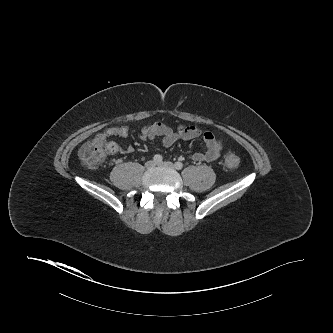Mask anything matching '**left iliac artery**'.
Here are the masks:
<instances>
[{"instance_id":"left-iliac-artery-1","label":"left iliac artery","mask_w":333,"mask_h":333,"mask_svg":"<svg viewBox=\"0 0 333 333\" xmlns=\"http://www.w3.org/2000/svg\"><path fill=\"white\" fill-rule=\"evenodd\" d=\"M175 168L178 170H181L183 168V164L181 162H176L175 163Z\"/></svg>"}]
</instances>
